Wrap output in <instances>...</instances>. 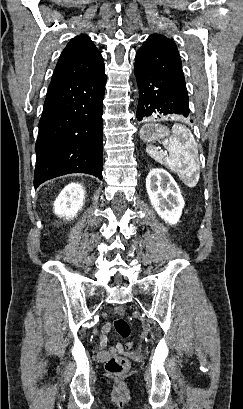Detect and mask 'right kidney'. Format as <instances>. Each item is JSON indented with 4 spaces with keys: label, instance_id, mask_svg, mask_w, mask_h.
Returning a JSON list of instances; mask_svg holds the SVG:
<instances>
[{
    "label": "right kidney",
    "instance_id": "1",
    "mask_svg": "<svg viewBox=\"0 0 243 409\" xmlns=\"http://www.w3.org/2000/svg\"><path fill=\"white\" fill-rule=\"evenodd\" d=\"M85 200V190L81 184H68L54 202V212L60 217L72 219L77 216Z\"/></svg>",
    "mask_w": 243,
    "mask_h": 409
}]
</instances>
